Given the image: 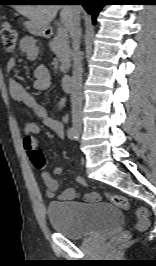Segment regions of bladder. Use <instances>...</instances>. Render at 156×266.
Returning a JSON list of instances; mask_svg holds the SVG:
<instances>
[{
  "label": "bladder",
  "instance_id": "bladder-1",
  "mask_svg": "<svg viewBox=\"0 0 156 266\" xmlns=\"http://www.w3.org/2000/svg\"><path fill=\"white\" fill-rule=\"evenodd\" d=\"M52 228L71 239H80L108 230L122 222L120 210L107 203L52 202L47 207Z\"/></svg>",
  "mask_w": 156,
  "mask_h": 266
}]
</instances>
